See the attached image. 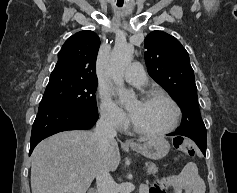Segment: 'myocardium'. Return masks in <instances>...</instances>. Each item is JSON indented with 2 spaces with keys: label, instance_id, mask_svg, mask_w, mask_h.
<instances>
[{
  "label": "myocardium",
  "instance_id": "1",
  "mask_svg": "<svg viewBox=\"0 0 237 193\" xmlns=\"http://www.w3.org/2000/svg\"><path fill=\"white\" fill-rule=\"evenodd\" d=\"M156 98L164 99L172 106L173 111H174V117H173L172 123L170 124V126H168L165 129L151 131V130H145L138 127L130 118V125L136 133L144 135V136H149V137L164 136L173 132L178 127L180 123V119H181V109L179 105L177 104V102L170 95L164 92H159V91L149 92L142 96L141 101H149Z\"/></svg>",
  "mask_w": 237,
  "mask_h": 193
}]
</instances>
